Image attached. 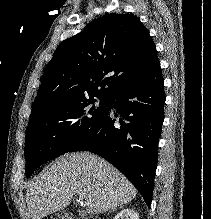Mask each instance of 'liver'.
<instances>
[{
  "label": "liver",
  "mask_w": 211,
  "mask_h": 219,
  "mask_svg": "<svg viewBox=\"0 0 211 219\" xmlns=\"http://www.w3.org/2000/svg\"><path fill=\"white\" fill-rule=\"evenodd\" d=\"M76 194L85 199V212L93 215L131 202L137 191L106 160L88 152L66 154L29 185L31 219L63 210Z\"/></svg>",
  "instance_id": "1"
}]
</instances>
